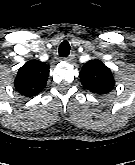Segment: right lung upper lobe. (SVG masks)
I'll return each instance as SVG.
<instances>
[{
    "label": "right lung upper lobe",
    "mask_w": 135,
    "mask_h": 165,
    "mask_svg": "<svg viewBox=\"0 0 135 165\" xmlns=\"http://www.w3.org/2000/svg\"><path fill=\"white\" fill-rule=\"evenodd\" d=\"M49 68L47 64L38 60L26 62L19 68L14 80L15 88L26 97L36 96L47 83Z\"/></svg>",
    "instance_id": "obj_1"
}]
</instances>
